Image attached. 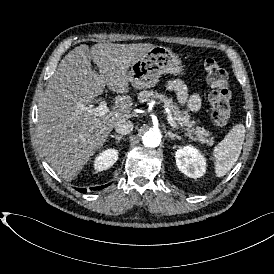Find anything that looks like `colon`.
<instances>
[{
	"instance_id": "5ec220e1",
	"label": "colon",
	"mask_w": 274,
	"mask_h": 274,
	"mask_svg": "<svg viewBox=\"0 0 274 274\" xmlns=\"http://www.w3.org/2000/svg\"><path fill=\"white\" fill-rule=\"evenodd\" d=\"M203 66L207 81L212 88L209 93L211 119L215 125L224 126L230 119L232 106L228 73L214 58H205Z\"/></svg>"
}]
</instances>
